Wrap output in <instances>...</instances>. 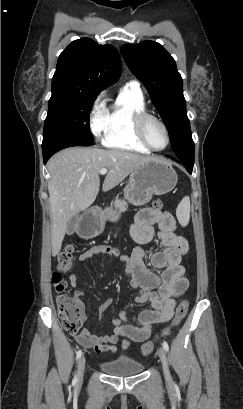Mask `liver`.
<instances>
[{
	"mask_svg": "<svg viewBox=\"0 0 243 409\" xmlns=\"http://www.w3.org/2000/svg\"><path fill=\"white\" fill-rule=\"evenodd\" d=\"M154 160L123 150L72 147L55 154L48 162L52 256L62 246L68 221L95 201L99 189V171L108 169L102 190L107 192L121 183L132 171Z\"/></svg>",
	"mask_w": 243,
	"mask_h": 409,
	"instance_id": "6515ba94",
	"label": "liver"
}]
</instances>
